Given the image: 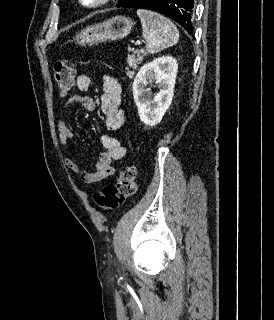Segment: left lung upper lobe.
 <instances>
[{
  "instance_id": "left-lung-upper-lobe-1",
  "label": "left lung upper lobe",
  "mask_w": 274,
  "mask_h": 320,
  "mask_svg": "<svg viewBox=\"0 0 274 320\" xmlns=\"http://www.w3.org/2000/svg\"><path fill=\"white\" fill-rule=\"evenodd\" d=\"M128 0H121V2L117 5V7L122 6L124 3H126Z\"/></svg>"
}]
</instances>
